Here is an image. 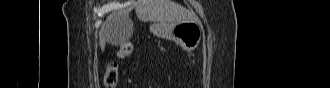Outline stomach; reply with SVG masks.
I'll return each mask as SVG.
<instances>
[{
  "label": "stomach",
  "mask_w": 330,
  "mask_h": 88,
  "mask_svg": "<svg viewBox=\"0 0 330 88\" xmlns=\"http://www.w3.org/2000/svg\"><path fill=\"white\" fill-rule=\"evenodd\" d=\"M163 36L177 42L185 51L194 50L202 38V28L198 23L187 21L163 25Z\"/></svg>",
  "instance_id": "obj_1"
}]
</instances>
